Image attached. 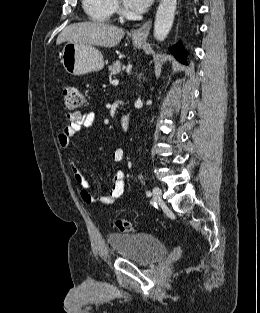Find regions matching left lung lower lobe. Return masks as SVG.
<instances>
[{"instance_id":"obj_1","label":"left lung lower lobe","mask_w":260,"mask_h":313,"mask_svg":"<svg viewBox=\"0 0 260 313\" xmlns=\"http://www.w3.org/2000/svg\"><path fill=\"white\" fill-rule=\"evenodd\" d=\"M171 52L175 55V57L182 63L185 62V56L182 46L180 44L176 45L175 47L170 49Z\"/></svg>"}]
</instances>
